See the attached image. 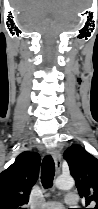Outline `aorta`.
Returning <instances> with one entry per match:
<instances>
[{"instance_id": "aorta-1", "label": "aorta", "mask_w": 98, "mask_h": 209, "mask_svg": "<svg viewBox=\"0 0 98 209\" xmlns=\"http://www.w3.org/2000/svg\"><path fill=\"white\" fill-rule=\"evenodd\" d=\"M75 182L71 176H59L55 180V186L61 190H69L74 186Z\"/></svg>"}]
</instances>
